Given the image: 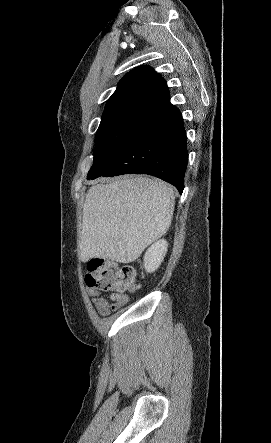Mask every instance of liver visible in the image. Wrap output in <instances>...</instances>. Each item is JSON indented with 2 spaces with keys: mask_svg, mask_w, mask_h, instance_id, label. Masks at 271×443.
I'll list each match as a JSON object with an SVG mask.
<instances>
[{
  "mask_svg": "<svg viewBox=\"0 0 271 443\" xmlns=\"http://www.w3.org/2000/svg\"><path fill=\"white\" fill-rule=\"evenodd\" d=\"M175 196L161 180L120 176L91 186L83 204L80 259L130 263L170 227Z\"/></svg>",
  "mask_w": 271,
  "mask_h": 443,
  "instance_id": "obj_1",
  "label": "liver"
}]
</instances>
